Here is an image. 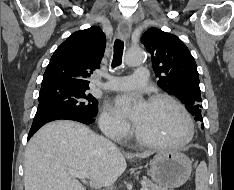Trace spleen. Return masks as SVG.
Here are the masks:
<instances>
[{
  "label": "spleen",
  "instance_id": "spleen-1",
  "mask_svg": "<svg viewBox=\"0 0 234 190\" xmlns=\"http://www.w3.org/2000/svg\"><path fill=\"white\" fill-rule=\"evenodd\" d=\"M195 184L196 190H209L208 170L205 162H201L196 169Z\"/></svg>",
  "mask_w": 234,
  "mask_h": 190
}]
</instances>
